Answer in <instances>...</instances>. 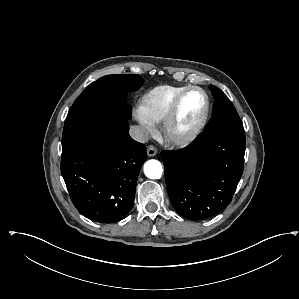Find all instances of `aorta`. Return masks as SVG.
Here are the masks:
<instances>
[{
  "label": "aorta",
  "instance_id": "1",
  "mask_svg": "<svg viewBox=\"0 0 299 299\" xmlns=\"http://www.w3.org/2000/svg\"><path fill=\"white\" fill-rule=\"evenodd\" d=\"M163 168L158 160H148L144 165V174L150 179H159L162 176Z\"/></svg>",
  "mask_w": 299,
  "mask_h": 299
}]
</instances>
